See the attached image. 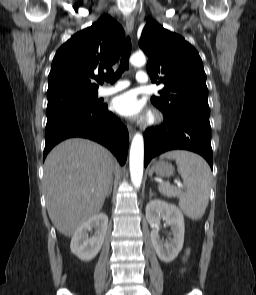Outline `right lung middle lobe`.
<instances>
[{
    "label": "right lung middle lobe",
    "instance_id": "1",
    "mask_svg": "<svg viewBox=\"0 0 256 295\" xmlns=\"http://www.w3.org/2000/svg\"><path fill=\"white\" fill-rule=\"evenodd\" d=\"M52 101L73 102L86 107H97L102 104L97 100V92H70L55 98Z\"/></svg>",
    "mask_w": 256,
    "mask_h": 295
}]
</instances>
